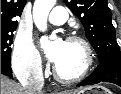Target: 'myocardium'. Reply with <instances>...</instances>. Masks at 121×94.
<instances>
[{
  "label": "myocardium",
  "instance_id": "obj_1",
  "mask_svg": "<svg viewBox=\"0 0 121 94\" xmlns=\"http://www.w3.org/2000/svg\"><path fill=\"white\" fill-rule=\"evenodd\" d=\"M66 42L76 43L82 47L84 51V56H85L83 67L80 70V72L72 76H63L59 72L56 65L53 66L52 72L57 81L64 83V84H71V83L79 82L87 77V75L89 74L92 68L94 58H93V52H92V48L90 44L81 36H77V35L69 36L66 39Z\"/></svg>",
  "mask_w": 121,
  "mask_h": 94
}]
</instances>
